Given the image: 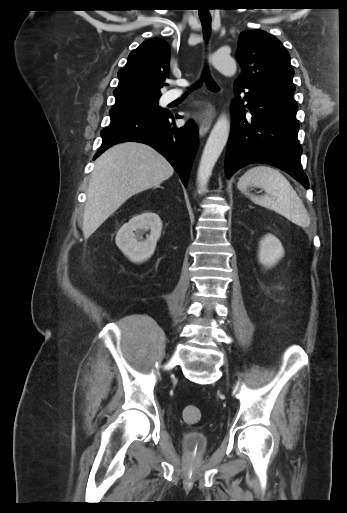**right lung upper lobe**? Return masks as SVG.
I'll return each mask as SVG.
<instances>
[{
    "label": "right lung upper lobe",
    "instance_id": "cb5924a9",
    "mask_svg": "<svg viewBox=\"0 0 347 513\" xmlns=\"http://www.w3.org/2000/svg\"><path fill=\"white\" fill-rule=\"evenodd\" d=\"M169 44L160 38L144 41L133 50L126 65L118 71V87L113 91L115 105L160 98L169 72Z\"/></svg>",
    "mask_w": 347,
    "mask_h": 513
}]
</instances>
